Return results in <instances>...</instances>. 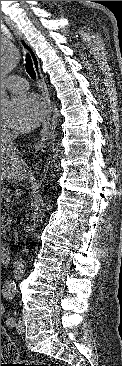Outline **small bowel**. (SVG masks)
<instances>
[{"label": "small bowel", "mask_w": 122, "mask_h": 366, "mask_svg": "<svg viewBox=\"0 0 122 366\" xmlns=\"http://www.w3.org/2000/svg\"><path fill=\"white\" fill-rule=\"evenodd\" d=\"M3 311H4V308H3V305L1 304V316L3 315Z\"/></svg>", "instance_id": "c3829d8e"}]
</instances>
